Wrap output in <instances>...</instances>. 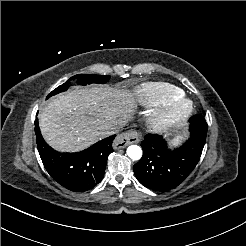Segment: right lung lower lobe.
<instances>
[{
    "mask_svg": "<svg viewBox=\"0 0 246 246\" xmlns=\"http://www.w3.org/2000/svg\"><path fill=\"white\" fill-rule=\"evenodd\" d=\"M37 148L51 177L65 188L84 192L94 188L103 178L108 155L113 152L115 135L103 139L77 153H59L42 138L38 120L35 121Z\"/></svg>",
    "mask_w": 246,
    "mask_h": 246,
    "instance_id": "right-lung-lower-lobe-1",
    "label": "right lung lower lobe"
}]
</instances>
